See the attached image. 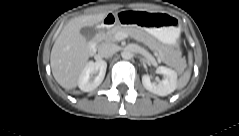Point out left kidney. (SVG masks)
Instances as JSON below:
<instances>
[{"label":"left kidney","mask_w":239,"mask_h":136,"mask_svg":"<svg viewBox=\"0 0 239 136\" xmlns=\"http://www.w3.org/2000/svg\"><path fill=\"white\" fill-rule=\"evenodd\" d=\"M157 72L164 76V79L154 83L151 82L149 75L142 76V84L148 91L159 96H167L172 93L177 87V73L165 66H159Z\"/></svg>","instance_id":"left-kidney-1"}]
</instances>
